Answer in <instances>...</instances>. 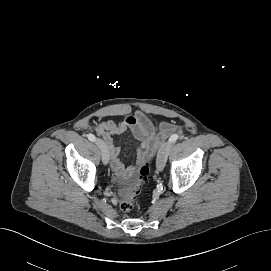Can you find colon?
Listing matches in <instances>:
<instances>
[{"instance_id": "5ec220e1", "label": "colon", "mask_w": 271, "mask_h": 271, "mask_svg": "<svg viewBox=\"0 0 271 271\" xmlns=\"http://www.w3.org/2000/svg\"><path fill=\"white\" fill-rule=\"evenodd\" d=\"M150 163H151V160H147L143 162L140 165V167L137 169L134 183L131 188V192L120 203V208L123 212H130L134 208L137 195L140 192V188L143 182L150 175Z\"/></svg>"}]
</instances>
